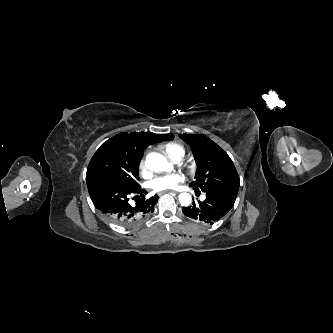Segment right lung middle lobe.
I'll use <instances>...</instances> for the list:
<instances>
[{"mask_svg": "<svg viewBox=\"0 0 333 333\" xmlns=\"http://www.w3.org/2000/svg\"><path fill=\"white\" fill-rule=\"evenodd\" d=\"M138 167L139 161L132 158L122 143L109 139L93 155L87 168L86 180L99 176L129 187H137Z\"/></svg>", "mask_w": 333, "mask_h": 333, "instance_id": "1", "label": "right lung middle lobe"}]
</instances>
